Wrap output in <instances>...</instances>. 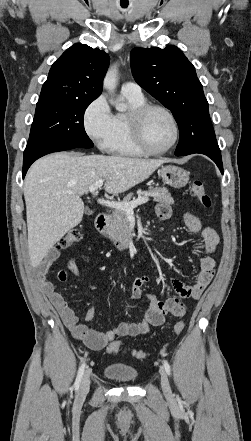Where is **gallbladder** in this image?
<instances>
[{"mask_svg": "<svg viewBox=\"0 0 251 441\" xmlns=\"http://www.w3.org/2000/svg\"><path fill=\"white\" fill-rule=\"evenodd\" d=\"M88 214H92V211H88Z\"/></svg>", "mask_w": 251, "mask_h": 441, "instance_id": "bac80fb5", "label": "gallbladder"}]
</instances>
